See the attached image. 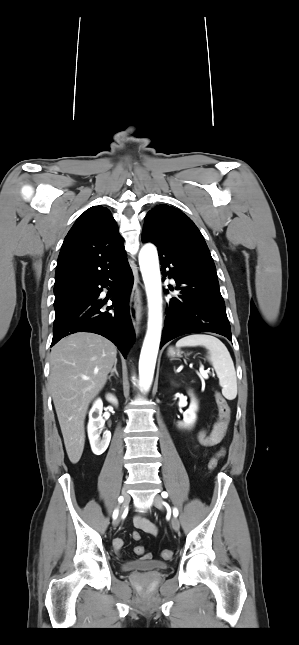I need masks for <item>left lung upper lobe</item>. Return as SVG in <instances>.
<instances>
[{"instance_id":"obj_1","label":"left lung upper lobe","mask_w":299,"mask_h":645,"mask_svg":"<svg viewBox=\"0 0 299 645\" xmlns=\"http://www.w3.org/2000/svg\"><path fill=\"white\" fill-rule=\"evenodd\" d=\"M143 242L184 243L211 256L207 244L193 221L181 210L162 204L152 208L145 217Z\"/></svg>"}]
</instances>
